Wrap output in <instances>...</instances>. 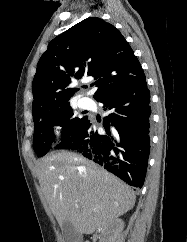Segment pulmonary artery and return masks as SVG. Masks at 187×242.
<instances>
[{
  "mask_svg": "<svg viewBox=\"0 0 187 242\" xmlns=\"http://www.w3.org/2000/svg\"><path fill=\"white\" fill-rule=\"evenodd\" d=\"M81 106L83 107V108H87V107H89V103H88V101H86V100H81Z\"/></svg>",
  "mask_w": 187,
  "mask_h": 242,
  "instance_id": "obj_1",
  "label": "pulmonary artery"
}]
</instances>
